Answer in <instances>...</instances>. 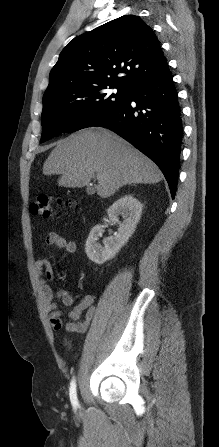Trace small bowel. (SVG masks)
<instances>
[{
  "label": "small bowel",
  "instance_id": "1",
  "mask_svg": "<svg viewBox=\"0 0 219 447\" xmlns=\"http://www.w3.org/2000/svg\"><path fill=\"white\" fill-rule=\"evenodd\" d=\"M45 243L49 246L63 249L68 253H75L76 244L68 241L62 235L51 232L45 238ZM36 270L40 276L42 300L48 313V318L55 331L65 329L71 333H84L94 316V297L85 295L80 303L67 311L61 312L58 305L70 306L74 302V296L69 290L61 289L53 292L49 282L54 280V271L48 258L43 257L36 261ZM68 319L67 322L63 318Z\"/></svg>",
  "mask_w": 219,
  "mask_h": 447
}]
</instances>
